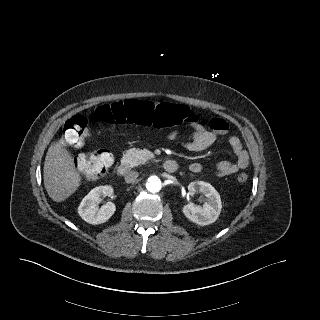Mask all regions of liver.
Masks as SVG:
<instances>
[{
	"label": "liver",
	"mask_w": 320,
	"mask_h": 320,
	"mask_svg": "<svg viewBox=\"0 0 320 320\" xmlns=\"http://www.w3.org/2000/svg\"><path fill=\"white\" fill-rule=\"evenodd\" d=\"M43 179L49 197L62 202L73 194L81 183L71 154L59 143L50 145L43 168Z\"/></svg>",
	"instance_id": "6515ba94"
}]
</instances>
